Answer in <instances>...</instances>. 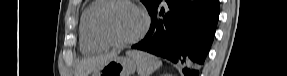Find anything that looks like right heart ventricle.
Masks as SVG:
<instances>
[{
    "label": "right heart ventricle",
    "instance_id": "1",
    "mask_svg": "<svg viewBox=\"0 0 287 76\" xmlns=\"http://www.w3.org/2000/svg\"><path fill=\"white\" fill-rule=\"evenodd\" d=\"M103 1L104 0H94L90 2L82 12L79 26L80 50L82 53L93 54L105 49L104 46L95 40L91 32L92 16Z\"/></svg>",
    "mask_w": 287,
    "mask_h": 76
}]
</instances>
